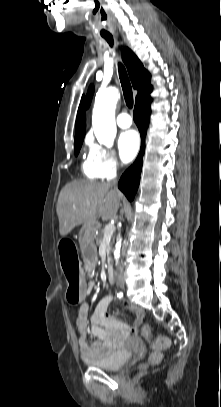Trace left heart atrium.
<instances>
[{
    "instance_id": "left-heart-atrium-1",
    "label": "left heart atrium",
    "mask_w": 221,
    "mask_h": 407,
    "mask_svg": "<svg viewBox=\"0 0 221 407\" xmlns=\"http://www.w3.org/2000/svg\"><path fill=\"white\" fill-rule=\"evenodd\" d=\"M139 136L134 130H127L120 134L118 138L119 154L123 162H130L139 150Z\"/></svg>"
}]
</instances>
